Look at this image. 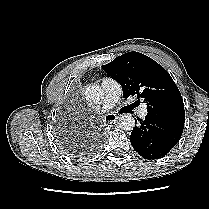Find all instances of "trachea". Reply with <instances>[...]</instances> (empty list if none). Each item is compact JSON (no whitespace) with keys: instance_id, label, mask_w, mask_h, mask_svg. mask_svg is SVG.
<instances>
[{"instance_id":"trachea-1","label":"trachea","mask_w":209,"mask_h":209,"mask_svg":"<svg viewBox=\"0 0 209 209\" xmlns=\"http://www.w3.org/2000/svg\"><path fill=\"white\" fill-rule=\"evenodd\" d=\"M131 107L134 108V107H135V104H132ZM106 119H107V120H110V118H109L108 116L106 117Z\"/></svg>"}]
</instances>
